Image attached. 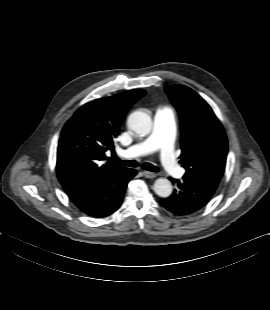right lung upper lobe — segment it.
Instances as JSON below:
<instances>
[{
  "mask_svg": "<svg viewBox=\"0 0 270 310\" xmlns=\"http://www.w3.org/2000/svg\"><path fill=\"white\" fill-rule=\"evenodd\" d=\"M135 89L83 105L64 125L59 139L56 170L62 186L90 180L120 167L105 152L114 149L125 113L145 95Z\"/></svg>",
  "mask_w": 270,
  "mask_h": 310,
  "instance_id": "obj_1",
  "label": "right lung upper lobe"
}]
</instances>
